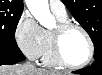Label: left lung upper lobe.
Listing matches in <instances>:
<instances>
[{
  "label": "left lung upper lobe",
  "mask_w": 102,
  "mask_h": 75,
  "mask_svg": "<svg viewBox=\"0 0 102 75\" xmlns=\"http://www.w3.org/2000/svg\"><path fill=\"white\" fill-rule=\"evenodd\" d=\"M94 43V58L102 57V0H62Z\"/></svg>",
  "instance_id": "1"
}]
</instances>
